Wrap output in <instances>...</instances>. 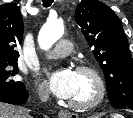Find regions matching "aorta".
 <instances>
[{"label":"aorta","instance_id":"aorta-1","mask_svg":"<svg viewBox=\"0 0 133 118\" xmlns=\"http://www.w3.org/2000/svg\"><path fill=\"white\" fill-rule=\"evenodd\" d=\"M64 33L63 24L58 21L47 22L41 28L38 35V43L41 49L48 50L59 40Z\"/></svg>","mask_w":133,"mask_h":118}]
</instances>
